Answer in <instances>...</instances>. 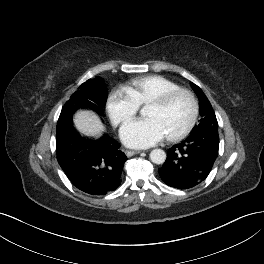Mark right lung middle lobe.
<instances>
[{"mask_svg": "<svg viewBox=\"0 0 264 264\" xmlns=\"http://www.w3.org/2000/svg\"><path fill=\"white\" fill-rule=\"evenodd\" d=\"M107 90L102 79H89L80 89L73 93L62 108L56 128V138L72 127V115L79 108H90L103 115V107L106 105Z\"/></svg>", "mask_w": 264, "mask_h": 264, "instance_id": "right-lung-middle-lobe-1", "label": "right lung middle lobe"}]
</instances>
